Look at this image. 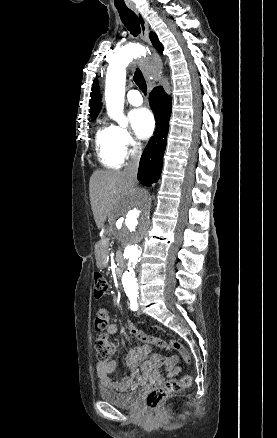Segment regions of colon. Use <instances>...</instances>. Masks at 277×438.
<instances>
[{
	"label": "colon",
	"instance_id": "1",
	"mask_svg": "<svg viewBox=\"0 0 277 438\" xmlns=\"http://www.w3.org/2000/svg\"><path fill=\"white\" fill-rule=\"evenodd\" d=\"M94 299L97 301L105 298L108 293V284L102 272H95L94 274ZM108 310L104 306H99L95 317V325L105 328L108 324ZM145 341L156 344L168 349H174L179 357L187 360L189 358L188 352L182 347L179 342L166 343L161 339L146 338ZM95 347L97 350L98 360L105 361L113 354L115 345L110 337L101 333L95 338ZM192 379L190 375H184L177 379L164 380L163 387L160 389H150L149 393L144 394V408L145 409H160L161 402H165L166 398H175L176 394L182 392L184 389L190 387Z\"/></svg>",
	"mask_w": 277,
	"mask_h": 438
}]
</instances>
